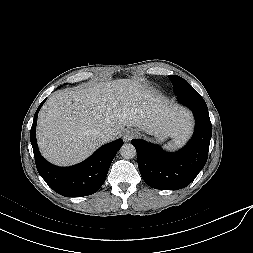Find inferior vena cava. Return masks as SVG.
<instances>
[{
	"instance_id": "602c4592",
	"label": "inferior vena cava",
	"mask_w": 253,
	"mask_h": 253,
	"mask_svg": "<svg viewBox=\"0 0 253 253\" xmlns=\"http://www.w3.org/2000/svg\"><path fill=\"white\" fill-rule=\"evenodd\" d=\"M97 134L102 143H107L112 140V132L109 130H104V131L98 132Z\"/></svg>"
}]
</instances>
